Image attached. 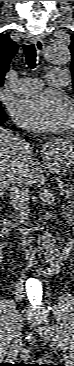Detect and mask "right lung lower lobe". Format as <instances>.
Segmentation results:
<instances>
[{"label":"right lung lower lobe","mask_w":74,"mask_h":366,"mask_svg":"<svg viewBox=\"0 0 74 366\" xmlns=\"http://www.w3.org/2000/svg\"><path fill=\"white\" fill-rule=\"evenodd\" d=\"M5 120H7L6 115L0 117V126L4 125L3 123L5 122ZM26 139H28V138L26 137Z\"/></svg>","instance_id":"1"}]
</instances>
